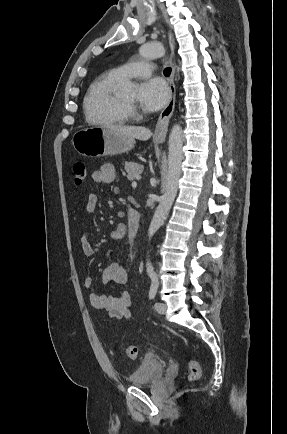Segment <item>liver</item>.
<instances>
[{"label": "liver", "instance_id": "liver-1", "mask_svg": "<svg viewBox=\"0 0 287 434\" xmlns=\"http://www.w3.org/2000/svg\"><path fill=\"white\" fill-rule=\"evenodd\" d=\"M106 127L124 136L141 141H147L152 136V132L148 128L141 126L107 125Z\"/></svg>", "mask_w": 287, "mask_h": 434}]
</instances>
